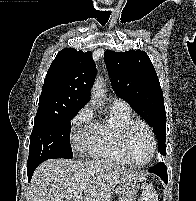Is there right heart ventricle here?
I'll use <instances>...</instances> for the list:
<instances>
[{"label": "right heart ventricle", "instance_id": "obj_1", "mask_svg": "<svg viewBox=\"0 0 196 201\" xmlns=\"http://www.w3.org/2000/svg\"><path fill=\"white\" fill-rule=\"evenodd\" d=\"M134 119L129 107L113 105L109 116L95 124L92 141L87 149L89 155L103 162L129 165L122 151L120 136L123 126Z\"/></svg>", "mask_w": 196, "mask_h": 201}]
</instances>
